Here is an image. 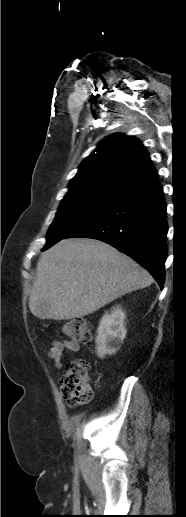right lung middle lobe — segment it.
<instances>
[{
	"label": "right lung middle lobe",
	"mask_w": 186,
	"mask_h": 517,
	"mask_svg": "<svg viewBox=\"0 0 186 517\" xmlns=\"http://www.w3.org/2000/svg\"><path fill=\"white\" fill-rule=\"evenodd\" d=\"M116 201L117 199L98 196L65 197L49 228L43 250L66 238L82 224L109 208Z\"/></svg>",
	"instance_id": "1"
}]
</instances>
